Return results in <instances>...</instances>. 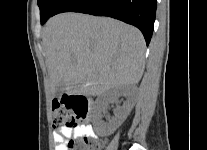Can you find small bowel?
Wrapping results in <instances>:
<instances>
[{
    "label": "small bowel",
    "mask_w": 207,
    "mask_h": 150,
    "mask_svg": "<svg viewBox=\"0 0 207 150\" xmlns=\"http://www.w3.org/2000/svg\"><path fill=\"white\" fill-rule=\"evenodd\" d=\"M94 139L96 133L89 124L79 125L77 127H62L55 130L53 140L55 142V150H64V143L73 138Z\"/></svg>",
    "instance_id": "small-bowel-1"
}]
</instances>
